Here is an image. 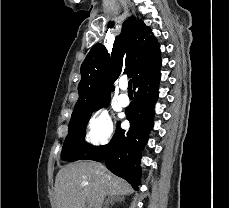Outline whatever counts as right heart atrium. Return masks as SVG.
I'll list each match as a JSON object with an SVG mask.
<instances>
[{
	"label": "right heart atrium",
	"instance_id": "1",
	"mask_svg": "<svg viewBox=\"0 0 229 208\" xmlns=\"http://www.w3.org/2000/svg\"><path fill=\"white\" fill-rule=\"evenodd\" d=\"M113 137V123L105 109H97L89 116L86 123L85 140L93 146H104Z\"/></svg>",
	"mask_w": 229,
	"mask_h": 208
}]
</instances>
